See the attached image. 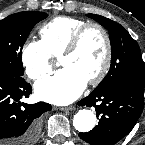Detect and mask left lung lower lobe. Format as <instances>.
Masks as SVG:
<instances>
[{
	"mask_svg": "<svg viewBox=\"0 0 145 145\" xmlns=\"http://www.w3.org/2000/svg\"><path fill=\"white\" fill-rule=\"evenodd\" d=\"M144 86L131 82L117 83L100 92H92L78 102L95 107L98 125L81 139L92 145H113L125 137L139 119L144 106Z\"/></svg>",
	"mask_w": 145,
	"mask_h": 145,
	"instance_id": "1",
	"label": "left lung lower lobe"
}]
</instances>
